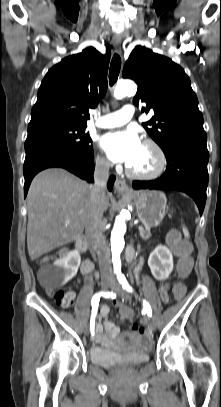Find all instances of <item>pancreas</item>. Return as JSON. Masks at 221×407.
<instances>
[{"label": "pancreas", "mask_w": 221, "mask_h": 407, "mask_svg": "<svg viewBox=\"0 0 221 407\" xmlns=\"http://www.w3.org/2000/svg\"><path fill=\"white\" fill-rule=\"evenodd\" d=\"M140 237H141L143 240L149 239V238L151 237V232H150V230H143V231H140Z\"/></svg>", "instance_id": "pancreas-1"}]
</instances>
